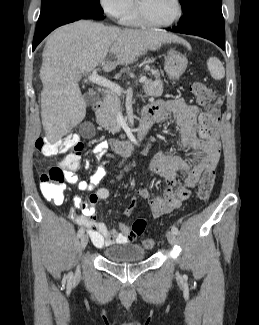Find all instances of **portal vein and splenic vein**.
Segmentation results:
<instances>
[{"label":"portal vein and splenic vein","mask_w":259,"mask_h":325,"mask_svg":"<svg viewBox=\"0 0 259 325\" xmlns=\"http://www.w3.org/2000/svg\"><path fill=\"white\" fill-rule=\"evenodd\" d=\"M88 80L93 82V83H96L98 85H101L103 87H106L108 89H110L111 91L115 92L117 95H121V92H122V89L120 87V85L106 79V78H103L101 76H99L97 74V70H93V72L88 75ZM147 80L146 76H143L139 79V82L140 83H143Z\"/></svg>","instance_id":"obj_1"}]
</instances>
